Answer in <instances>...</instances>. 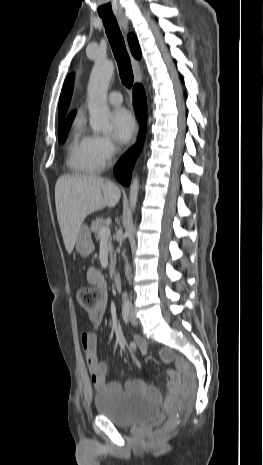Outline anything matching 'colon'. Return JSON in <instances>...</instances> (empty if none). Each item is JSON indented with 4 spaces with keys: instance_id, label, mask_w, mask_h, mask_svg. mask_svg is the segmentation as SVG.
I'll return each mask as SVG.
<instances>
[{
    "instance_id": "colon-1",
    "label": "colon",
    "mask_w": 263,
    "mask_h": 465,
    "mask_svg": "<svg viewBox=\"0 0 263 465\" xmlns=\"http://www.w3.org/2000/svg\"><path fill=\"white\" fill-rule=\"evenodd\" d=\"M102 298L101 291L93 287H82L77 292V301L79 305L87 312L92 311L100 302ZM176 403L166 401V407L169 410L174 409ZM175 423V419L171 417L168 419L166 426L171 427Z\"/></svg>"
}]
</instances>
